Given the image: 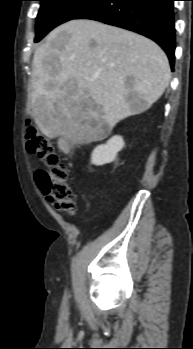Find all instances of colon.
<instances>
[{
  "mask_svg": "<svg viewBox=\"0 0 193 349\" xmlns=\"http://www.w3.org/2000/svg\"><path fill=\"white\" fill-rule=\"evenodd\" d=\"M27 149L47 166L36 173V182L47 200L60 212L72 214L76 208V196L68 183V167L61 163L51 140L37 127L26 124Z\"/></svg>",
  "mask_w": 193,
  "mask_h": 349,
  "instance_id": "colon-1",
  "label": "colon"
}]
</instances>
